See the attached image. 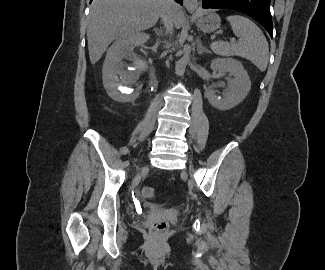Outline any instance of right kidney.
<instances>
[{
    "label": "right kidney",
    "instance_id": "obj_1",
    "mask_svg": "<svg viewBox=\"0 0 325 270\" xmlns=\"http://www.w3.org/2000/svg\"><path fill=\"white\" fill-rule=\"evenodd\" d=\"M148 38L147 34L139 33L128 39L116 40L109 48L102 78L104 88L113 100L130 102L136 99L143 87L146 73L153 72V67L147 61L143 50V44ZM136 48L139 52L135 51Z\"/></svg>",
    "mask_w": 325,
    "mask_h": 270
}]
</instances>
